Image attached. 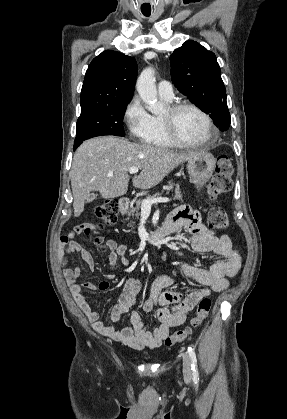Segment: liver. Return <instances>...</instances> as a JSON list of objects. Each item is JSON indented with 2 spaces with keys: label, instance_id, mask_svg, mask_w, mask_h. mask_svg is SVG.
<instances>
[{
  "label": "liver",
  "instance_id": "6515ba94",
  "mask_svg": "<svg viewBox=\"0 0 287 419\" xmlns=\"http://www.w3.org/2000/svg\"><path fill=\"white\" fill-rule=\"evenodd\" d=\"M200 152H176L114 136L85 141L76 150L70 171L74 216L79 217L84 211L85 200L91 191H99L105 199L126 194L129 168L141 169V173L132 179L133 186L150 189Z\"/></svg>",
  "mask_w": 287,
  "mask_h": 419
}]
</instances>
